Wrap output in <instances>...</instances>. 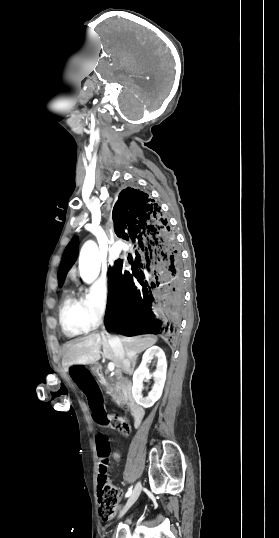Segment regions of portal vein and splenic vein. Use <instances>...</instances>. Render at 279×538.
I'll list each match as a JSON object with an SVG mask.
<instances>
[{"label": "portal vein and splenic vein", "mask_w": 279, "mask_h": 538, "mask_svg": "<svg viewBox=\"0 0 279 538\" xmlns=\"http://www.w3.org/2000/svg\"><path fill=\"white\" fill-rule=\"evenodd\" d=\"M133 356H134V354H133ZM114 368H115V364H113V362H109V364H108L109 372H113Z\"/></svg>", "instance_id": "1"}]
</instances>
